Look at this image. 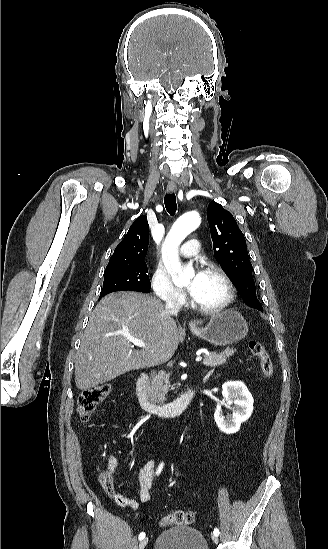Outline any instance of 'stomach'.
Returning a JSON list of instances; mask_svg holds the SVG:
<instances>
[{
  "mask_svg": "<svg viewBox=\"0 0 328 549\" xmlns=\"http://www.w3.org/2000/svg\"><path fill=\"white\" fill-rule=\"evenodd\" d=\"M190 329L196 337L205 339L216 347L237 343L248 333V325L236 309H227L218 315H213L205 327L191 325Z\"/></svg>",
  "mask_w": 328,
  "mask_h": 549,
  "instance_id": "obj_1",
  "label": "stomach"
}]
</instances>
